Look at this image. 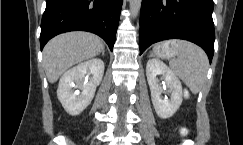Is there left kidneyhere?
<instances>
[{"label":"left kidney","instance_id":"obj_1","mask_svg":"<svg viewBox=\"0 0 243 145\" xmlns=\"http://www.w3.org/2000/svg\"><path fill=\"white\" fill-rule=\"evenodd\" d=\"M147 81L151 99L157 115L162 119L170 118L182 103V85L176 75L159 59H150L146 65ZM157 75H162L170 91V99H162L163 88Z\"/></svg>","mask_w":243,"mask_h":145}]
</instances>
